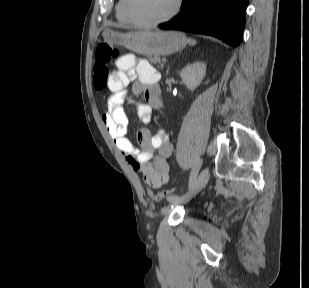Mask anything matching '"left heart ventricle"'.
<instances>
[{
  "label": "left heart ventricle",
  "mask_w": 309,
  "mask_h": 288,
  "mask_svg": "<svg viewBox=\"0 0 309 288\" xmlns=\"http://www.w3.org/2000/svg\"><path fill=\"white\" fill-rule=\"evenodd\" d=\"M175 0H130L132 15L141 21H151L167 15Z\"/></svg>",
  "instance_id": "1"
}]
</instances>
